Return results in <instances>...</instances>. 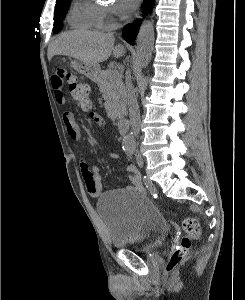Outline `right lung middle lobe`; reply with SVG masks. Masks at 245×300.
Returning <instances> with one entry per match:
<instances>
[{"instance_id":"1","label":"right lung middle lobe","mask_w":245,"mask_h":300,"mask_svg":"<svg viewBox=\"0 0 245 300\" xmlns=\"http://www.w3.org/2000/svg\"><path fill=\"white\" fill-rule=\"evenodd\" d=\"M70 0H59L56 2L55 14H54V28L53 32L58 33L63 28V19L67 13Z\"/></svg>"}]
</instances>
